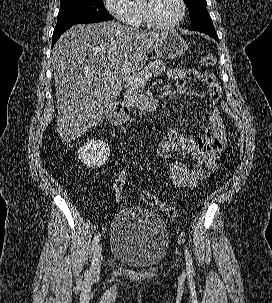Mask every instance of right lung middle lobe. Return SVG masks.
Wrapping results in <instances>:
<instances>
[{
  "instance_id": "right-lung-middle-lobe-1",
  "label": "right lung middle lobe",
  "mask_w": 272,
  "mask_h": 303,
  "mask_svg": "<svg viewBox=\"0 0 272 303\" xmlns=\"http://www.w3.org/2000/svg\"><path fill=\"white\" fill-rule=\"evenodd\" d=\"M103 0H60V10L54 32L79 23H96L111 20Z\"/></svg>"
}]
</instances>
